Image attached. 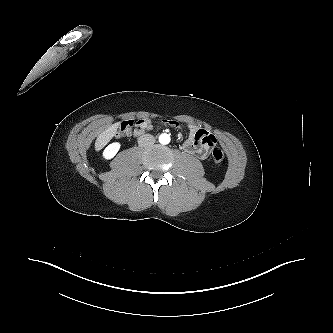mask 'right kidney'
<instances>
[{
    "label": "right kidney",
    "instance_id": "right-kidney-1",
    "mask_svg": "<svg viewBox=\"0 0 333 333\" xmlns=\"http://www.w3.org/2000/svg\"><path fill=\"white\" fill-rule=\"evenodd\" d=\"M119 149H120V143L118 142L111 143L104 149L103 158L107 160L112 159L117 154Z\"/></svg>",
    "mask_w": 333,
    "mask_h": 333
}]
</instances>
